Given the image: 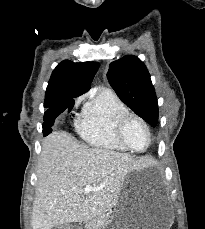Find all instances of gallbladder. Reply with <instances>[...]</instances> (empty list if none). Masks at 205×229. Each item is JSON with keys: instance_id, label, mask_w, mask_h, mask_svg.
Listing matches in <instances>:
<instances>
[{"instance_id": "obj_1", "label": "gallbladder", "mask_w": 205, "mask_h": 229, "mask_svg": "<svg viewBox=\"0 0 205 229\" xmlns=\"http://www.w3.org/2000/svg\"><path fill=\"white\" fill-rule=\"evenodd\" d=\"M52 229H68L67 224L55 225Z\"/></svg>"}]
</instances>
